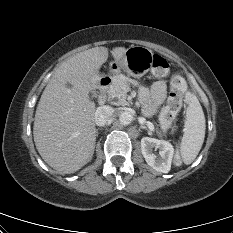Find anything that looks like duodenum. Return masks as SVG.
<instances>
[{
  "instance_id": "410a0bca",
  "label": "duodenum",
  "mask_w": 233,
  "mask_h": 233,
  "mask_svg": "<svg viewBox=\"0 0 233 233\" xmlns=\"http://www.w3.org/2000/svg\"><path fill=\"white\" fill-rule=\"evenodd\" d=\"M112 83V80L110 77H103L100 82H99V90H100V94H99V103L101 105L106 103L107 100V91L110 87Z\"/></svg>"
}]
</instances>
